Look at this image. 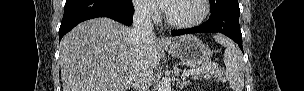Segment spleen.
Returning <instances> with one entry per match:
<instances>
[{
	"mask_svg": "<svg viewBox=\"0 0 304 91\" xmlns=\"http://www.w3.org/2000/svg\"><path fill=\"white\" fill-rule=\"evenodd\" d=\"M214 39L226 49L223 61L226 71L221 73V79H227L233 91H242L244 88V62L240 50L226 37L214 36Z\"/></svg>",
	"mask_w": 304,
	"mask_h": 91,
	"instance_id": "3e777b00",
	"label": "spleen"
}]
</instances>
